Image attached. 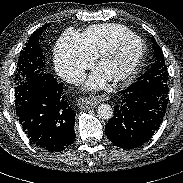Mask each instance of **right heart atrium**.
Wrapping results in <instances>:
<instances>
[{"mask_svg":"<svg viewBox=\"0 0 183 183\" xmlns=\"http://www.w3.org/2000/svg\"><path fill=\"white\" fill-rule=\"evenodd\" d=\"M54 63L63 78L76 82L92 65L93 58L84 49L81 37L74 31H67L55 46Z\"/></svg>","mask_w":183,"mask_h":183,"instance_id":"right-heart-atrium-1","label":"right heart atrium"}]
</instances>
